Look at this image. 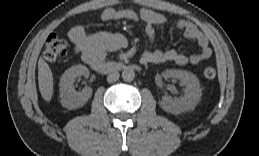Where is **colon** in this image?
<instances>
[{"label": "colon", "instance_id": "1", "mask_svg": "<svg viewBox=\"0 0 259 156\" xmlns=\"http://www.w3.org/2000/svg\"><path fill=\"white\" fill-rule=\"evenodd\" d=\"M68 51V42L52 34L46 41L43 57L47 62L53 63L64 58ZM203 75L207 79H213L216 76V69L213 66L208 65L203 69Z\"/></svg>", "mask_w": 259, "mask_h": 156}]
</instances>
